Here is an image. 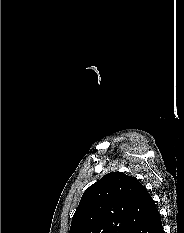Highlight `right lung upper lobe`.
Returning <instances> with one entry per match:
<instances>
[{"label": "right lung upper lobe", "mask_w": 184, "mask_h": 233, "mask_svg": "<svg viewBox=\"0 0 184 233\" xmlns=\"http://www.w3.org/2000/svg\"><path fill=\"white\" fill-rule=\"evenodd\" d=\"M155 208L135 177L111 172L84 192L69 233H129Z\"/></svg>", "instance_id": "obj_1"}]
</instances>
